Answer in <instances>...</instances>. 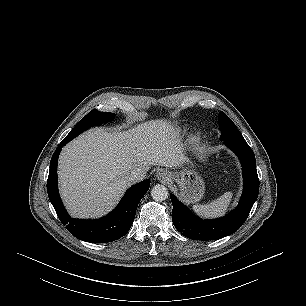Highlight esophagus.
I'll return each instance as SVG.
<instances>
[{"mask_svg": "<svg viewBox=\"0 0 306 306\" xmlns=\"http://www.w3.org/2000/svg\"><path fill=\"white\" fill-rule=\"evenodd\" d=\"M156 178L157 180L165 183L170 180V174L164 169H159L156 174Z\"/></svg>", "mask_w": 306, "mask_h": 306, "instance_id": "34e87169", "label": "esophagus"}]
</instances>
